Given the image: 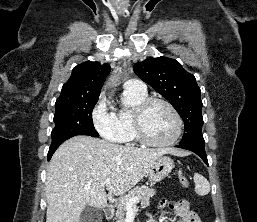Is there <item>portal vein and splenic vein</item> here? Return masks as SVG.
I'll return each mask as SVG.
<instances>
[{
	"label": "portal vein and splenic vein",
	"instance_id": "portal-vein-and-splenic-vein-1",
	"mask_svg": "<svg viewBox=\"0 0 257 222\" xmlns=\"http://www.w3.org/2000/svg\"><path fill=\"white\" fill-rule=\"evenodd\" d=\"M111 182V179L110 178H107L105 180V184H109ZM139 202V198L138 197H133V198H130L127 202H126V206L127 208H133L135 207V203Z\"/></svg>",
	"mask_w": 257,
	"mask_h": 222
}]
</instances>
